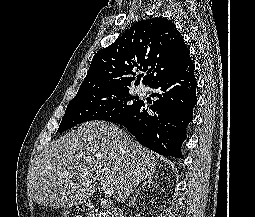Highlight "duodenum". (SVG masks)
I'll return each mask as SVG.
<instances>
[{
    "label": "duodenum",
    "mask_w": 255,
    "mask_h": 217,
    "mask_svg": "<svg viewBox=\"0 0 255 217\" xmlns=\"http://www.w3.org/2000/svg\"><path fill=\"white\" fill-rule=\"evenodd\" d=\"M80 210L84 212L87 217H124L119 209H110L104 211L97 209L90 204L80 205Z\"/></svg>",
    "instance_id": "duodenum-1"
}]
</instances>
